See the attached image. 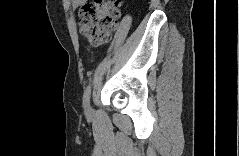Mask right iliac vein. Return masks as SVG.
Masks as SVG:
<instances>
[{"label": "right iliac vein", "mask_w": 239, "mask_h": 156, "mask_svg": "<svg viewBox=\"0 0 239 156\" xmlns=\"http://www.w3.org/2000/svg\"><path fill=\"white\" fill-rule=\"evenodd\" d=\"M86 112H87V113H90V112H91L90 104L88 105Z\"/></svg>", "instance_id": "right-iliac-vein-1"}]
</instances>
